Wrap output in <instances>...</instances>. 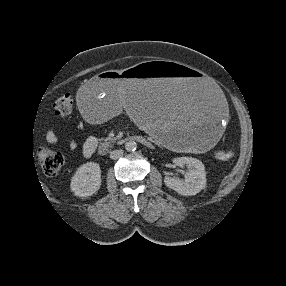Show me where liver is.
I'll return each mask as SVG.
<instances>
[{"label": "liver", "instance_id": "1", "mask_svg": "<svg viewBox=\"0 0 286 286\" xmlns=\"http://www.w3.org/2000/svg\"><path fill=\"white\" fill-rule=\"evenodd\" d=\"M126 89H120V97L122 98V103H124V97L126 95Z\"/></svg>", "mask_w": 286, "mask_h": 286}]
</instances>
